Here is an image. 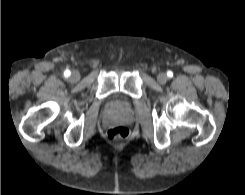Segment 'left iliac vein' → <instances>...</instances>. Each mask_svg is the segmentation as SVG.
Returning <instances> with one entry per match:
<instances>
[{"mask_svg": "<svg viewBox=\"0 0 245 195\" xmlns=\"http://www.w3.org/2000/svg\"><path fill=\"white\" fill-rule=\"evenodd\" d=\"M167 75L165 74V73H160V74H158V76H157V80H158V82L159 83H161V84H165L166 82H167Z\"/></svg>", "mask_w": 245, "mask_h": 195, "instance_id": "left-iliac-vein-1", "label": "left iliac vein"}]
</instances>
